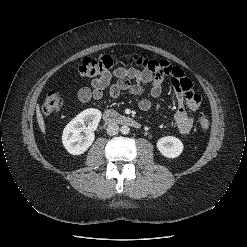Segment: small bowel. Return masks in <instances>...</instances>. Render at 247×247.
I'll list each match as a JSON object with an SVG mask.
<instances>
[{"label": "small bowel", "instance_id": "1", "mask_svg": "<svg viewBox=\"0 0 247 247\" xmlns=\"http://www.w3.org/2000/svg\"><path fill=\"white\" fill-rule=\"evenodd\" d=\"M136 62L142 69L118 67L108 74L94 78L91 81V89L82 88L79 91V100L84 103L91 99L100 100L106 89L112 98L118 97L123 92L139 95L144 85H150L149 97L139 102V108L148 111L153 106V100L161 95L164 77H169L178 105L174 115L176 126L181 134H189L193 122L186 107L197 110L202 101L201 96L193 90L191 81L179 67L171 65L166 60L137 56ZM113 79L116 81L112 82Z\"/></svg>", "mask_w": 247, "mask_h": 247}]
</instances>
